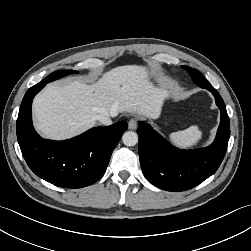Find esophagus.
I'll list each match as a JSON object with an SVG mask.
<instances>
[{"label":"esophagus","instance_id":"obj_1","mask_svg":"<svg viewBox=\"0 0 251 251\" xmlns=\"http://www.w3.org/2000/svg\"><path fill=\"white\" fill-rule=\"evenodd\" d=\"M138 126V120L137 118H132L128 122V127L130 130H135Z\"/></svg>","mask_w":251,"mask_h":251}]
</instances>
